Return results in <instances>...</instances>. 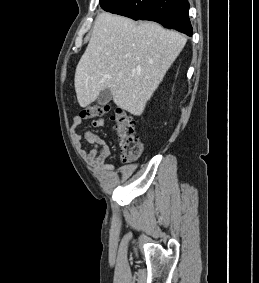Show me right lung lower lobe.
<instances>
[{"mask_svg": "<svg viewBox=\"0 0 259 283\" xmlns=\"http://www.w3.org/2000/svg\"><path fill=\"white\" fill-rule=\"evenodd\" d=\"M103 10L134 20H150L192 36L187 0H100Z\"/></svg>", "mask_w": 259, "mask_h": 283, "instance_id": "1", "label": "right lung lower lobe"}]
</instances>
